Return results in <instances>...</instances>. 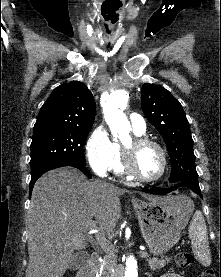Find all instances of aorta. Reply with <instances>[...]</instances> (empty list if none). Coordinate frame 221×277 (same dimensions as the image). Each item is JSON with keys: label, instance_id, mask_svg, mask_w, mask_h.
<instances>
[{"label": "aorta", "instance_id": "obj_1", "mask_svg": "<svg viewBox=\"0 0 221 277\" xmlns=\"http://www.w3.org/2000/svg\"><path fill=\"white\" fill-rule=\"evenodd\" d=\"M128 104V93L125 90H118L112 93L103 107L105 120L109 125L113 136L123 140L129 135L130 123L123 109ZM124 277H138L137 259L133 254H128L126 258V269Z\"/></svg>", "mask_w": 221, "mask_h": 277}]
</instances>
